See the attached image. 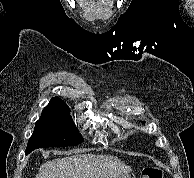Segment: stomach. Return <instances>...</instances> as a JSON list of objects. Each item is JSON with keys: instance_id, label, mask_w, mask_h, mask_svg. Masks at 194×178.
Here are the masks:
<instances>
[{"instance_id": "obj_1", "label": "stomach", "mask_w": 194, "mask_h": 178, "mask_svg": "<svg viewBox=\"0 0 194 178\" xmlns=\"http://www.w3.org/2000/svg\"><path fill=\"white\" fill-rule=\"evenodd\" d=\"M115 178H133V177H131V176L128 175V174H124V175H121V176H117V177H115Z\"/></svg>"}]
</instances>
